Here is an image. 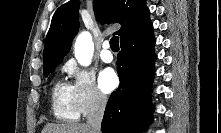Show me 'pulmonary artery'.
<instances>
[{
	"label": "pulmonary artery",
	"mask_w": 221,
	"mask_h": 133,
	"mask_svg": "<svg viewBox=\"0 0 221 133\" xmlns=\"http://www.w3.org/2000/svg\"><path fill=\"white\" fill-rule=\"evenodd\" d=\"M100 58L105 63H110L113 61V53L110 49V43L108 41L103 42L102 50L100 52Z\"/></svg>",
	"instance_id": "1"
}]
</instances>
